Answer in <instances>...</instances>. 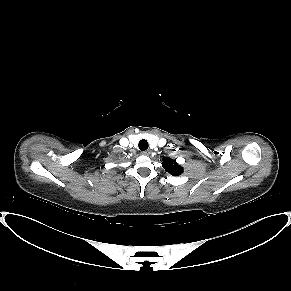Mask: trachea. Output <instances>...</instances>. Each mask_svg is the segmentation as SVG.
Masks as SVG:
<instances>
[{"mask_svg":"<svg viewBox=\"0 0 291 291\" xmlns=\"http://www.w3.org/2000/svg\"><path fill=\"white\" fill-rule=\"evenodd\" d=\"M138 146H139V149H140L141 151H145V150H147V149H148V142H147V140H145V139L140 140Z\"/></svg>","mask_w":291,"mask_h":291,"instance_id":"1","label":"trachea"}]
</instances>
